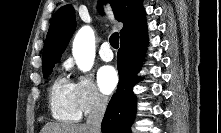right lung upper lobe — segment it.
Masks as SVG:
<instances>
[{
    "label": "right lung upper lobe",
    "instance_id": "cb5924a9",
    "mask_svg": "<svg viewBox=\"0 0 221 133\" xmlns=\"http://www.w3.org/2000/svg\"><path fill=\"white\" fill-rule=\"evenodd\" d=\"M111 4L115 19L123 23L121 40L146 30L145 10L142 0H102ZM101 2L99 6L101 7ZM75 13L71 5L61 7L54 14L46 36L43 66L57 63L75 31Z\"/></svg>",
    "mask_w": 221,
    "mask_h": 133
}]
</instances>
